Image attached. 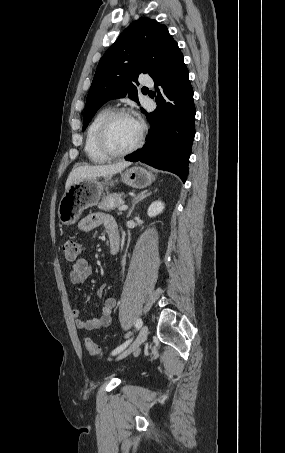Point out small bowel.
Here are the masks:
<instances>
[{
  "mask_svg": "<svg viewBox=\"0 0 285 453\" xmlns=\"http://www.w3.org/2000/svg\"><path fill=\"white\" fill-rule=\"evenodd\" d=\"M104 225L107 231L109 241L118 240L120 242L121 234L117 223L108 215L104 213H93L83 218L79 224L78 229L82 232H89L96 227ZM93 272L92 265L88 260L80 256L74 261L70 270V281L73 284L83 283ZM104 286H101L97 291V297L100 298L103 294ZM116 306V300L112 297L107 298L101 309L99 317H92L88 319L82 318V313L78 308H73L72 314L75 318L77 328L84 330H94L104 326H108L112 321V311Z\"/></svg>",
  "mask_w": 285,
  "mask_h": 453,
  "instance_id": "c3829d8e",
  "label": "small bowel"
}]
</instances>
